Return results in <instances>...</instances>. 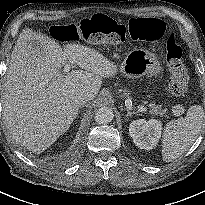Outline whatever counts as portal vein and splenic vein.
<instances>
[{"label": "portal vein and splenic vein", "instance_id": "portal-vein-and-splenic-vein-1", "mask_svg": "<svg viewBox=\"0 0 205 205\" xmlns=\"http://www.w3.org/2000/svg\"><path fill=\"white\" fill-rule=\"evenodd\" d=\"M71 68V65L66 63L65 67H64V70H63V73H67L69 72ZM138 110L141 111V112H146L147 111V108L144 107V106H138Z\"/></svg>", "mask_w": 205, "mask_h": 205}]
</instances>
